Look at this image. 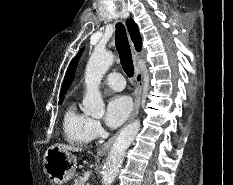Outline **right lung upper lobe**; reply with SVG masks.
Listing matches in <instances>:
<instances>
[{"instance_id": "right-lung-upper-lobe-1", "label": "right lung upper lobe", "mask_w": 233, "mask_h": 185, "mask_svg": "<svg viewBox=\"0 0 233 185\" xmlns=\"http://www.w3.org/2000/svg\"><path fill=\"white\" fill-rule=\"evenodd\" d=\"M127 27L129 29L131 39L135 45L136 50L140 51L141 46H142V39H141V36H140V33H139V30H138L136 23L132 19H129V20H127ZM79 56H80V53L71 61L70 65L67 69L61 94H64L66 92V90L69 88V86L73 80L74 72H75V68H76ZM63 99H64V96H60L59 102L63 101Z\"/></svg>"}]
</instances>
